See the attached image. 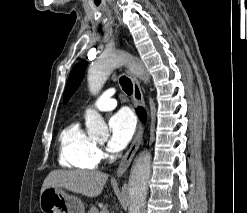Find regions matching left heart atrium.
Here are the masks:
<instances>
[{"instance_id":"obj_1","label":"left heart atrium","mask_w":247,"mask_h":213,"mask_svg":"<svg viewBox=\"0 0 247 213\" xmlns=\"http://www.w3.org/2000/svg\"><path fill=\"white\" fill-rule=\"evenodd\" d=\"M110 139L108 149L118 152L124 149L132 139L136 121L133 114L127 110H120L111 116L109 120Z\"/></svg>"}]
</instances>
